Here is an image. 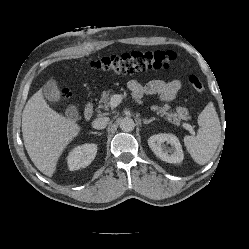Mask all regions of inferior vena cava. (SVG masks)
<instances>
[{
  "label": "inferior vena cava",
  "mask_w": 249,
  "mask_h": 249,
  "mask_svg": "<svg viewBox=\"0 0 249 249\" xmlns=\"http://www.w3.org/2000/svg\"><path fill=\"white\" fill-rule=\"evenodd\" d=\"M109 120L108 117H98L92 122V127L95 129H104L109 123Z\"/></svg>",
  "instance_id": "obj_1"
}]
</instances>
